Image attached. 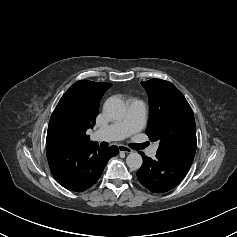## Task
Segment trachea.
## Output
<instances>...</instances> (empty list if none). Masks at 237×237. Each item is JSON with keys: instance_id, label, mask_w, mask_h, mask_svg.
Returning <instances> with one entry per match:
<instances>
[{"instance_id": "trachea-1", "label": "trachea", "mask_w": 237, "mask_h": 237, "mask_svg": "<svg viewBox=\"0 0 237 237\" xmlns=\"http://www.w3.org/2000/svg\"><path fill=\"white\" fill-rule=\"evenodd\" d=\"M150 143L149 142H145V143H142V144H138L136 146H131L132 149H135V150H140V149H143L145 147H147Z\"/></svg>"}]
</instances>
